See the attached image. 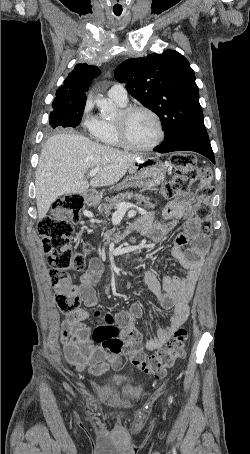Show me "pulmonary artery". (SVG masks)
I'll list each match as a JSON object with an SVG mask.
<instances>
[{
	"label": "pulmonary artery",
	"mask_w": 250,
	"mask_h": 454,
	"mask_svg": "<svg viewBox=\"0 0 250 454\" xmlns=\"http://www.w3.org/2000/svg\"><path fill=\"white\" fill-rule=\"evenodd\" d=\"M108 96L121 104H127L128 95L122 84L116 83L108 90Z\"/></svg>",
	"instance_id": "e3ab8cb5"
}]
</instances>
